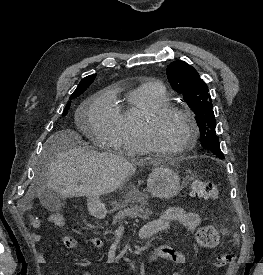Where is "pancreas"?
Here are the masks:
<instances>
[{
    "mask_svg": "<svg viewBox=\"0 0 263 275\" xmlns=\"http://www.w3.org/2000/svg\"><path fill=\"white\" fill-rule=\"evenodd\" d=\"M147 200L148 196L142 192H139L138 190L128 193L125 202L119 204L118 209L120 210L114 216L113 224H116L126 217L147 220L153 213L151 210L145 208V206L148 204ZM135 203H140V205Z\"/></svg>",
    "mask_w": 263,
    "mask_h": 275,
    "instance_id": "1",
    "label": "pancreas"
}]
</instances>
